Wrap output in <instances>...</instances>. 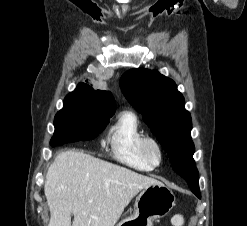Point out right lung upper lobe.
<instances>
[{
    "instance_id": "cb5924a9",
    "label": "right lung upper lobe",
    "mask_w": 247,
    "mask_h": 226,
    "mask_svg": "<svg viewBox=\"0 0 247 226\" xmlns=\"http://www.w3.org/2000/svg\"><path fill=\"white\" fill-rule=\"evenodd\" d=\"M71 93L80 94L97 101L102 108L101 112L103 114L113 115L115 112L116 103L114 97L109 91L94 90L88 84L80 83Z\"/></svg>"
}]
</instances>
